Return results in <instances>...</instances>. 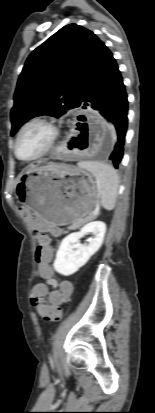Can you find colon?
Masks as SVG:
<instances>
[{"label":"colon","instance_id":"colon-1","mask_svg":"<svg viewBox=\"0 0 155 413\" xmlns=\"http://www.w3.org/2000/svg\"><path fill=\"white\" fill-rule=\"evenodd\" d=\"M36 262L43 277H53L55 270L50 267L51 252L47 247L46 237L41 234L36 249ZM57 285L60 291L51 293L48 297H41L38 294L31 295V303L34 305L44 320L58 321L62 317L61 304L66 302L72 292V281L69 278H58Z\"/></svg>","mask_w":155,"mask_h":413}]
</instances>
